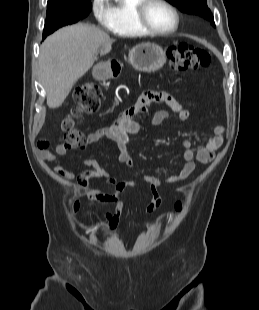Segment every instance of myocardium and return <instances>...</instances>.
<instances>
[{
	"label": "myocardium",
	"instance_id": "myocardium-1",
	"mask_svg": "<svg viewBox=\"0 0 259 310\" xmlns=\"http://www.w3.org/2000/svg\"><path fill=\"white\" fill-rule=\"evenodd\" d=\"M154 2L161 3L172 11L175 17V25L173 28L169 30H158L148 22L147 9L149 5ZM135 19L141 29H143L148 34L155 36H167L173 34L179 29L181 22L178 9L168 0H140L139 4H137V6L135 7Z\"/></svg>",
	"mask_w": 259,
	"mask_h": 310
}]
</instances>
